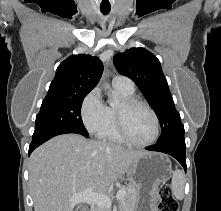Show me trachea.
Returning <instances> with one entry per match:
<instances>
[{
    "label": "trachea",
    "mask_w": 221,
    "mask_h": 211,
    "mask_svg": "<svg viewBox=\"0 0 221 211\" xmlns=\"http://www.w3.org/2000/svg\"><path fill=\"white\" fill-rule=\"evenodd\" d=\"M111 8H100V11L103 15H107L110 12Z\"/></svg>",
    "instance_id": "3493384b"
}]
</instances>
